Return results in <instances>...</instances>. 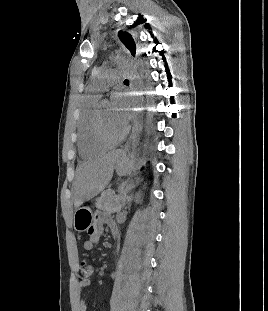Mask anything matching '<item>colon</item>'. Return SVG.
<instances>
[{
    "instance_id": "5ec220e1",
    "label": "colon",
    "mask_w": 268,
    "mask_h": 311,
    "mask_svg": "<svg viewBox=\"0 0 268 311\" xmlns=\"http://www.w3.org/2000/svg\"><path fill=\"white\" fill-rule=\"evenodd\" d=\"M80 273L82 278H89L92 274V267L86 261H82L80 265Z\"/></svg>"
}]
</instances>
